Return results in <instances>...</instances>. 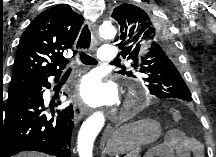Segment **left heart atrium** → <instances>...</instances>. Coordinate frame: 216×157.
Listing matches in <instances>:
<instances>
[{
    "label": "left heart atrium",
    "instance_id": "left-heart-atrium-1",
    "mask_svg": "<svg viewBox=\"0 0 216 157\" xmlns=\"http://www.w3.org/2000/svg\"><path fill=\"white\" fill-rule=\"evenodd\" d=\"M81 100L89 106H101L109 104L115 99V90L105 85L96 76H87L81 83L79 92Z\"/></svg>",
    "mask_w": 216,
    "mask_h": 157
}]
</instances>
